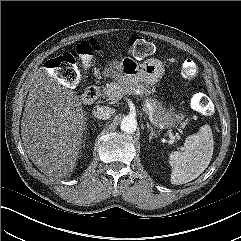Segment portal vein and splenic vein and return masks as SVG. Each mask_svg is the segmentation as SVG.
I'll return each instance as SVG.
<instances>
[{
	"instance_id": "1",
	"label": "portal vein and splenic vein",
	"mask_w": 241,
	"mask_h": 241,
	"mask_svg": "<svg viewBox=\"0 0 241 241\" xmlns=\"http://www.w3.org/2000/svg\"><path fill=\"white\" fill-rule=\"evenodd\" d=\"M146 108H147L146 110H148L147 113L149 112V115L152 116L153 114H152L151 106L149 104H147ZM169 137H170L171 140H174V138H175L171 132H169Z\"/></svg>"
}]
</instances>
